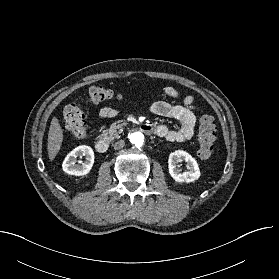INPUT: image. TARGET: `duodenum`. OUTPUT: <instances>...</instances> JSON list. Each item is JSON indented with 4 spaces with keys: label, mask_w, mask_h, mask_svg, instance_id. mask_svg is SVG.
Masks as SVG:
<instances>
[{
    "label": "duodenum",
    "mask_w": 279,
    "mask_h": 279,
    "mask_svg": "<svg viewBox=\"0 0 279 279\" xmlns=\"http://www.w3.org/2000/svg\"><path fill=\"white\" fill-rule=\"evenodd\" d=\"M141 130L147 134L154 133V128L150 124H142ZM95 148L99 153H105L109 148V141L105 138H100L97 140L95 144Z\"/></svg>",
    "instance_id": "duodenum-1"
}]
</instances>
